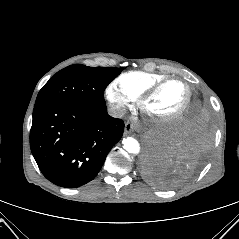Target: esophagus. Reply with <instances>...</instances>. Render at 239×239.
<instances>
[{
    "mask_svg": "<svg viewBox=\"0 0 239 239\" xmlns=\"http://www.w3.org/2000/svg\"><path fill=\"white\" fill-rule=\"evenodd\" d=\"M136 129V126L130 122L125 123V134H130Z\"/></svg>",
    "mask_w": 239,
    "mask_h": 239,
    "instance_id": "obj_1",
    "label": "esophagus"
}]
</instances>
